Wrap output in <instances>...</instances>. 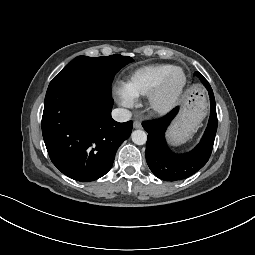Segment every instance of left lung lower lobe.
I'll list each match as a JSON object with an SVG mask.
<instances>
[{
  "instance_id": "left-lung-lower-lobe-1",
  "label": "left lung lower lobe",
  "mask_w": 255,
  "mask_h": 255,
  "mask_svg": "<svg viewBox=\"0 0 255 255\" xmlns=\"http://www.w3.org/2000/svg\"><path fill=\"white\" fill-rule=\"evenodd\" d=\"M200 80L210 96V118L200 143L190 152L175 154L170 151L165 140V131L178 112V107L162 118L144 121L148 132L146 143V161L155 176L165 181H177L187 178L200 170L209 160L217 131V114L212 88L204 77Z\"/></svg>"
}]
</instances>
